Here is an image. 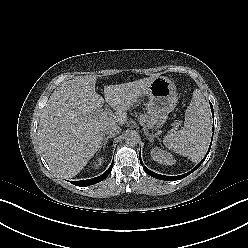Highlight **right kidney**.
Instances as JSON below:
<instances>
[{
  "instance_id": "right-kidney-1",
  "label": "right kidney",
  "mask_w": 248,
  "mask_h": 248,
  "mask_svg": "<svg viewBox=\"0 0 248 248\" xmlns=\"http://www.w3.org/2000/svg\"><path fill=\"white\" fill-rule=\"evenodd\" d=\"M103 159H104L103 157H99V158L94 162V167H95V168H98L99 166H101L102 163L104 162Z\"/></svg>"
}]
</instances>
